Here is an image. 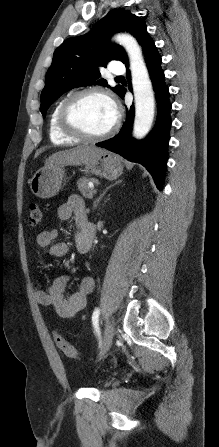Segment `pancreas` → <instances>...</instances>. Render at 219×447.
I'll list each match as a JSON object with an SVG mask.
<instances>
[{"label": "pancreas", "mask_w": 219, "mask_h": 447, "mask_svg": "<svg viewBox=\"0 0 219 447\" xmlns=\"http://www.w3.org/2000/svg\"><path fill=\"white\" fill-rule=\"evenodd\" d=\"M90 181L96 182V180L88 179L86 177L80 178L77 181L78 189L85 198H92L93 194H94L93 189L89 188V186H88V183Z\"/></svg>", "instance_id": "cf45deb5"}]
</instances>
